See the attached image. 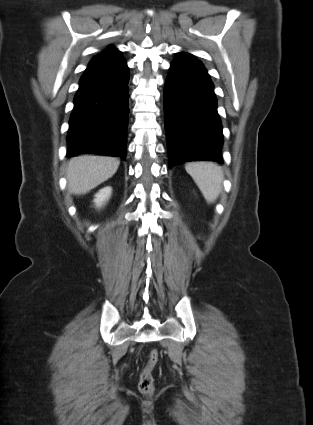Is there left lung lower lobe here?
<instances>
[{"label": "left lung lower lobe", "instance_id": "obj_1", "mask_svg": "<svg viewBox=\"0 0 313 425\" xmlns=\"http://www.w3.org/2000/svg\"><path fill=\"white\" fill-rule=\"evenodd\" d=\"M169 167L190 161L222 162V124L214 85L203 64L188 53L171 63L164 91Z\"/></svg>", "mask_w": 313, "mask_h": 425}]
</instances>
